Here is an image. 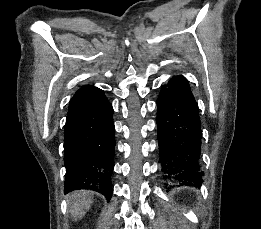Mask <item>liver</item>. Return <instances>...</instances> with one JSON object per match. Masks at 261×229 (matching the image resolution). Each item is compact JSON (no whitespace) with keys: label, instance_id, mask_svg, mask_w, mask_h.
I'll return each instance as SVG.
<instances>
[{"label":"liver","instance_id":"6515ba94","mask_svg":"<svg viewBox=\"0 0 261 229\" xmlns=\"http://www.w3.org/2000/svg\"><path fill=\"white\" fill-rule=\"evenodd\" d=\"M94 199L92 191H74L68 197V203L71 205L70 213L74 219H81L89 211Z\"/></svg>","mask_w":261,"mask_h":229}]
</instances>
